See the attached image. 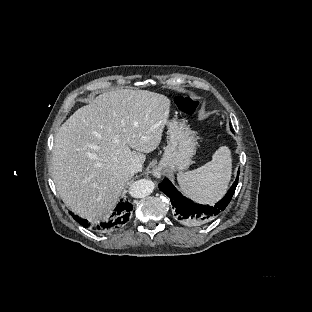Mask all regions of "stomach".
<instances>
[{
    "label": "stomach",
    "instance_id": "1",
    "mask_svg": "<svg viewBox=\"0 0 312 312\" xmlns=\"http://www.w3.org/2000/svg\"><path fill=\"white\" fill-rule=\"evenodd\" d=\"M167 126L170 136L159 163L160 168L168 172H183L192 163V157L196 151L195 133L186 125L185 121L174 119L169 121Z\"/></svg>",
    "mask_w": 312,
    "mask_h": 312
}]
</instances>
